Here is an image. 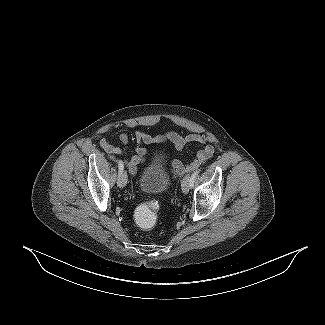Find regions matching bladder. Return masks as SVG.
I'll return each mask as SVG.
<instances>
[{"label":"bladder","instance_id":"31cf9c89","mask_svg":"<svg viewBox=\"0 0 325 325\" xmlns=\"http://www.w3.org/2000/svg\"><path fill=\"white\" fill-rule=\"evenodd\" d=\"M138 184L144 193L163 194L171 186L166 160L161 152H156L140 173Z\"/></svg>","mask_w":325,"mask_h":325}]
</instances>
